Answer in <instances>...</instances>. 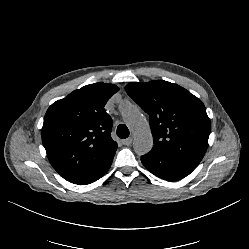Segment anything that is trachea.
<instances>
[{
    "label": "trachea",
    "mask_w": 249,
    "mask_h": 249,
    "mask_svg": "<svg viewBox=\"0 0 249 249\" xmlns=\"http://www.w3.org/2000/svg\"><path fill=\"white\" fill-rule=\"evenodd\" d=\"M117 136L122 139H125L129 136V130L125 124H120L117 127Z\"/></svg>",
    "instance_id": "3493384b"
}]
</instances>
